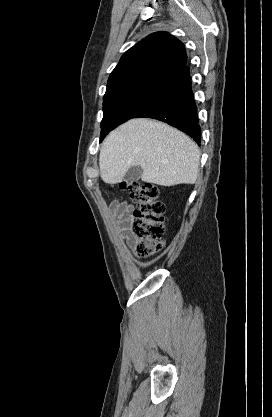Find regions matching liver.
Returning <instances> with one entry per match:
<instances>
[{
	"label": "liver",
	"instance_id": "liver-1",
	"mask_svg": "<svg viewBox=\"0 0 272 417\" xmlns=\"http://www.w3.org/2000/svg\"><path fill=\"white\" fill-rule=\"evenodd\" d=\"M200 155L197 144L181 131L154 120L132 119L104 140L100 176L107 184H117L129 168L139 165L144 182L168 187L194 184Z\"/></svg>",
	"mask_w": 272,
	"mask_h": 417
}]
</instances>
